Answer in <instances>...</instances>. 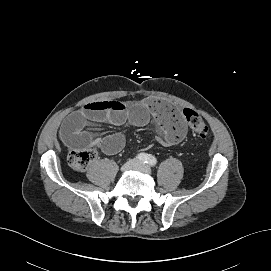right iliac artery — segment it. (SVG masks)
<instances>
[{"label":"right iliac artery","mask_w":271,"mask_h":271,"mask_svg":"<svg viewBox=\"0 0 271 271\" xmlns=\"http://www.w3.org/2000/svg\"><path fill=\"white\" fill-rule=\"evenodd\" d=\"M137 159L140 160L141 162H147L148 160V155L146 153H140L137 156Z\"/></svg>","instance_id":"obj_1"}]
</instances>
